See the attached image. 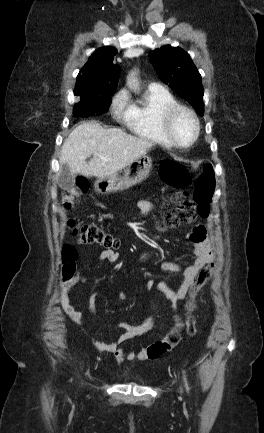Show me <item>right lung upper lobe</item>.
I'll list each match as a JSON object with an SVG mask.
<instances>
[{
  "label": "right lung upper lobe",
  "mask_w": 264,
  "mask_h": 433,
  "mask_svg": "<svg viewBox=\"0 0 264 433\" xmlns=\"http://www.w3.org/2000/svg\"><path fill=\"white\" fill-rule=\"evenodd\" d=\"M116 54L113 47L97 49L80 70L74 95L88 98L114 93L120 75V66L113 64Z\"/></svg>",
  "instance_id": "obj_1"
}]
</instances>
